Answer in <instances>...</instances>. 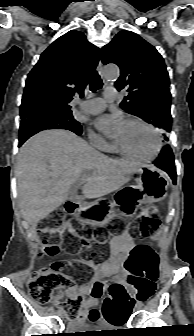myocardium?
<instances>
[{
  "instance_id": "1",
  "label": "myocardium",
  "mask_w": 194,
  "mask_h": 336,
  "mask_svg": "<svg viewBox=\"0 0 194 336\" xmlns=\"http://www.w3.org/2000/svg\"><path fill=\"white\" fill-rule=\"evenodd\" d=\"M125 123H137L140 124L144 127H146L147 129H149L152 134L155 137V148L152 154L147 155V156H143V155H138V154H134L130 151H128L127 149H125L121 144H119L117 141H115L114 146L116 147V149L122 153L124 156H127L129 158H133V159H137V160H142V161H151L154 160L161 152L162 149V139H161V135L159 133V131L150 123L146 122L145 120L141 119V118H136V117H132V118H128Z\"/></svg>"
}]
</instances>
